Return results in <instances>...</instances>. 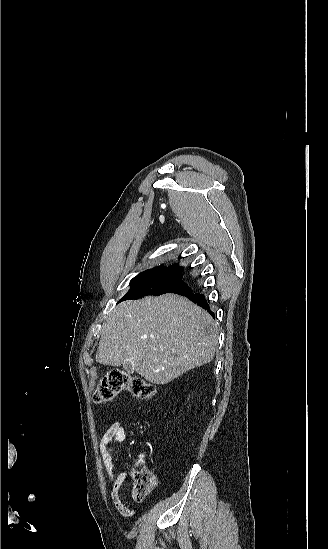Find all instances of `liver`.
Segmentation results:
<instances>
[{
    "label": "liver",
    "mask_w": 328,
    "mask_h": 549,
    "mask_svg": "<svg viewBox=\"0 0 328 549\" xmlns=\"http://www.w3.org/2000/svg\"><path fill=\"white\" fill-rule=\"evenodd\" d=\"M218 327L211 315L178 295L120 303L102 325L97 363L120 367L131 361L141 377L166 385L211 363Z\"/></svg>",
    "instance_id": "1"
}]
</instances>
